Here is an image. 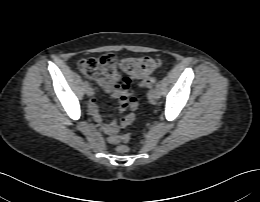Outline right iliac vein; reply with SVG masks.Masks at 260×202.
<instances>
[{"mask_svg":"<svg viewBox=\"0 0 260 202\" xmlns=\"http://www.w3.org/2000/svg\"><path fill=\"white\" fill-rule=\"evenodd\" d=\"M86 94H87L89 97L93 96V94H94L93 89H92L91 87H88V88L86 89Z\"/></svg>","mask_w":260,"mask_h":202,"instance_id":"1","label":"right iliac vein"}]
</instances>
